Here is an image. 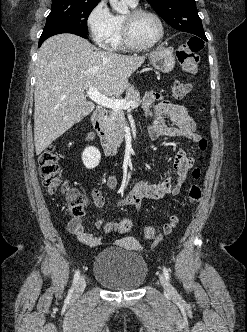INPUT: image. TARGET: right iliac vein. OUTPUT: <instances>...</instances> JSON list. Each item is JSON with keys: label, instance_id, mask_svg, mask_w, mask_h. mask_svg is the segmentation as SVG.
Segmentation results:
<instances>
[{"label": "right iliac vein", "instance_id": "1", "mask_svg": "<svg viewBox=\"0 0 247 332\" xmlns=\"http://www.w3.org/2000/svg\"><path fill=\"white\" fill-rule=\"evenodd\" d=\"M86 286V280L84 276H81L79 281L77 282L76 288H75V295L78 296L82 294Z\"/></svg>", "mask_w": 247, "mask_h": 332}]
</instances>
